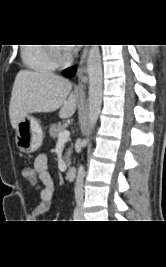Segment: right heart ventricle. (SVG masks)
I'll list each match as a JSON object with an SVG mask.
<instances>
[{"label": "right heart ventricle", "mask_w": 166, "mask_h": 267, "mask_svg": "<svg viewBox=\"0 0 166 267\" xmlns=\"http://www.w3.org/2000/svg\"><path fill=\"white\" fill-rule=\"evenodd\" d=\"M21 58L24 65L37 72H51L57 64L52 60L49 50L42 44H29L21 49Z\"/></svg>", "instance_id": "e07e8e85"}]
</instances>
